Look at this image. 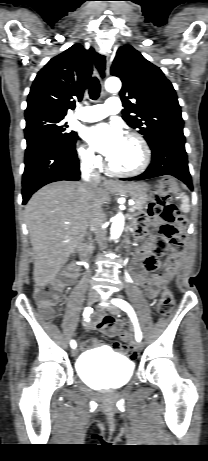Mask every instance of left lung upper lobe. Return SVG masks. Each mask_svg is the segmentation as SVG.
Wrapping results in <instances>:
<instances>
[{"mask_svg": "<svg viewBox=\"0 0 208 461\" xmlns=\"http://www.w3.org/2000/svg\"><path fill=\"white\" fill-rule=\"evenodd\" d=\"M111 74L123 83L120 91L123 119L138 129L150 147L165 136H184L177 95L159 67L132 46L125 45L117 51Z\"/></svg>", "mask_w": 208, "mask_h": 461, "instance_id": "1", "label": "left lung upper lobe"}]
</instances>
